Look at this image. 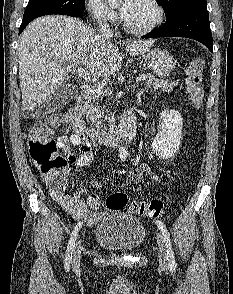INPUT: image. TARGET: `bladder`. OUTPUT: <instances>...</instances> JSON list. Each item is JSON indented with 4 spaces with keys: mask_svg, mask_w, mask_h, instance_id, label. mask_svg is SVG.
Listing matches in <instances>:
<instances>
[{
    "mask_svg": "<svg viewBox=\"0 0 233 294\" xmlns=\"http://www.w3.org/2000/svg\"><path fill=\"white\" fill-rule=\"evenodd\" d=\"M94 238L105 249L129 252L143 243L145 229L141 221L131 214L111 212L97 224Z\"/></svg>",
    "mask_w": 233,
    "mask_h": 294,
    "instance_id": "obj_1",
    "label": "bladder"
}]
</instances>
